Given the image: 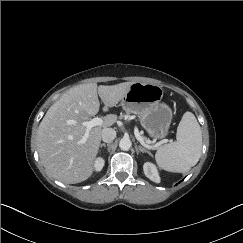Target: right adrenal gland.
Returning a JSON list of instances; mask_svg holds the SVG:
<instances>
[{
    "instance_id": "right-adrenal-gland-1",
    "label": "right adrenal gland",
    "mask_w": 243,
    "mask_h": 243,
    "mask_svg": "<svg viewBox=\"0 0 243 243\" xmlns=\"http://www.w3.org/2000/svg\"><path fill=\"white\" fill-rule=\"evenodd\" d=\"M107 146H109V144H107ZM102 147H106V144H105V143H102V144L100 145V148H102Z\"/></svg>"
}]
</instances>
